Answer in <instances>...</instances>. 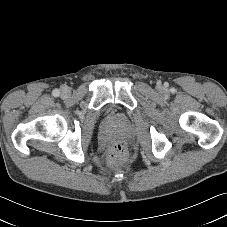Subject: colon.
<instances>
[{"instance_id":"5ec220e1","label":"colon","mask_w":227,"mask_h":227,"mask_svg":"<svg viewBox=\"0 0 227 227\" xmlns=\"http://www.w3.org/2000/svg\"><path fill=\"white\" fill-rule=\"evenodd\" d=\"M126 158V147L124 142L115 141L113 142L108 151L109 165L112 168H118L124 162Z\"/></svg>"}]
</instances>
